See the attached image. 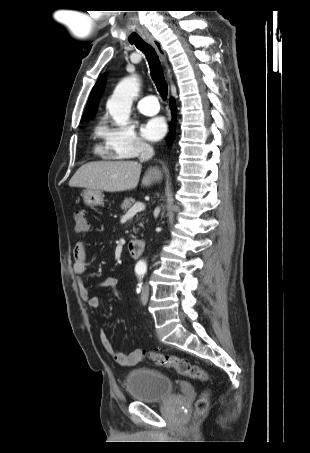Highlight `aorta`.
<instances>
[{
  "instance_id": "762f6f07",
  "label": "aorta",
  "mask_w": 310,
  "mask_h": 453,
  "mask_svg": "<svg viewBox=\"0 0 310 453\" xmlns=\"http://www.w3.org/2000/svg\"><path fill=\"white\" fill-rule=\"evenodd\" d=\"M139 92V81L136 76L124 78L116 86L111 98L107 102V109L113 120L120 125L127 122L130 117L133 99ZM146 263L140 260L136 268L143 269Z\"/></svg>"
}]
</instances>
